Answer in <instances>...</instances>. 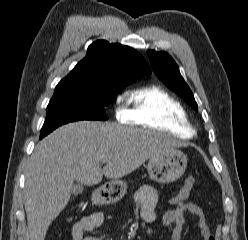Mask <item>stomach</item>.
Masks as SVG:
<instances>
[{
  "instance_id": "stomach-1",
  "label": "stomach",
  "mask_w": 248,
  "mask_h": 240,
  "mask_svg": "<svg viewBox=\"0 0 248 240\" xmlns=\"http://www.w3.org/2000/svg\"><path fill=\"white\" fill-rule=\"evenodd\" d=\"M187 167V156L178 149H173L149 159L147 170L149 176L158 183H171L179 179ZM127 192L124 181L113 180L106 183L98 194L104 203L119 201Z\"/></svg>"
}]
</instances>
